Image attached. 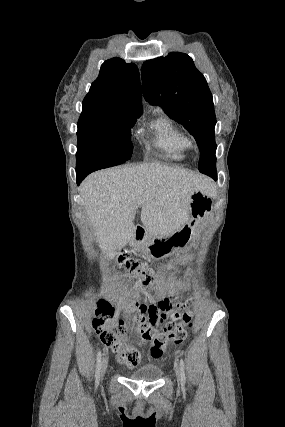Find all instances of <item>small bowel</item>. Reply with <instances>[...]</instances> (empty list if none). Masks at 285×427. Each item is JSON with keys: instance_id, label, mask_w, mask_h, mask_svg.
<instances>
[{"instance_id": "small-bowel-1", "label": "small bowel", "mask_w": 285, "mask_h": 427, "mask_svg": "<svg viewBox=\"0 0 285 427\" xmlns=\"http://www.w3.org/2000/svg\"><path fill=\"white\" fill-rule=\"evenodd\" d=\"M176 298L162 297L160 300L142 307V313L145 315L141 321L149 326L155 327L163 323V319L173 308V300Z\"/></svg>"}]
</instances>
